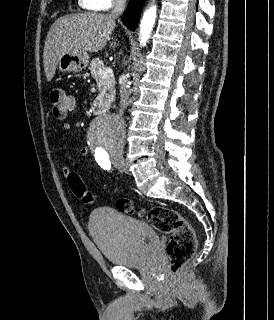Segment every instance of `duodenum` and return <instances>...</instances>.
I'll list each match as a JSON object with an SVG mask.
<instances>
[{
    "label": "duodenum",
    "mask_w": 274,
    "mask_h": 320,
    "mask_svg": "<svg viewBox=\"0 0 274 320\" xmlns=\"http://www.w3.org/2000/svg\"><path fill=\"white\" fill-rule=\"evenodd\" d=\"M94 108H95V111L99 114V115H103L106 113V109L105 107L103 106L102 102L99 101V100H96L94 102Z\"/></svg>",
    "instance_id": "obj_1"
}]
</instances>
